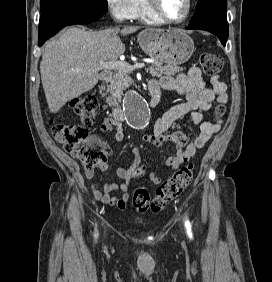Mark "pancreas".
<instances>
[{
    "label": "pancreas",
    "instance_id": "cf45deb5",
    "mask_svg": "<svg viewBox=\"0 0 272 282\" xmlns=\"http://www.w3.org/2000/svg\"><path fill=\"white\" fill-rule=\"evenodd\" d=\"M154 77L173 76L176 73L183 70L176 65H162V63H152L149 68L146 69ZM132 85V78L130 77V72L125 70H119L113 74V77L108 85L107 92L110 95L107 98V103L109 105H118L121 101L122 93L125 89Z\"/></svg>",
    "mask_w": 272,
    "mask_h": 282
}]
</instances>
